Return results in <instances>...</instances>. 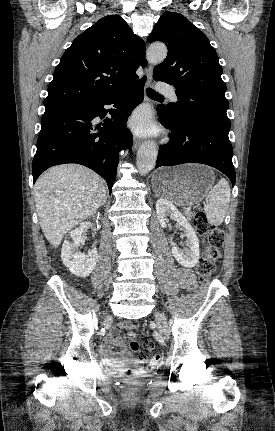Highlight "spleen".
<instances>
[{
	"label": "spleen",
	"mask_w": 275,
	"mask_h": 431,
	"mask_svg": "<svg viewBox=\"0 0 275 431\" xmlns=\"http://www.w3.org/2000/svg\"><path fill=\"white\" fill-rule=\"evenodd\" d=\"M230 203V186L221 179L207 194L205 213L210 224L221 225Z\"/></svg>",
	"instance_id": "spleen-1"
}]
</instances>
